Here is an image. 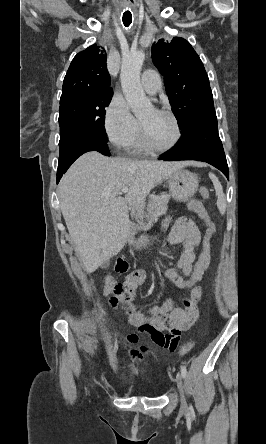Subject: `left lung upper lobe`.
<instances>
[{
    "label": "left lung upper lobe",
    "instance_id": "1",
    "mask_svg": "<svg viewBox=\"0 0 266 444\" xmlns=\"http://www.w3.org/2000/svg\"><path fill=\"white\" fill-rule=\"evenodd\" d=\"M152 60L164 76L166 93L181 129L214 110L213 95L202 61L188 41L174 37L152 46Z\"/></svg>",
    "mask_w": 266,
    "mask_h": 444
}]
</instances>
